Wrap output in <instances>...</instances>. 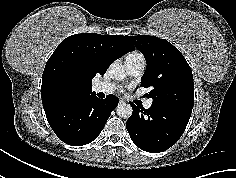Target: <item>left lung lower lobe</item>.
Segmentation results:
<instances>
[{
  "mask_svg": "<svg viewBox=\"0 0 236 178\" xmlns=\"http://www.w3.org/2000/svg\"><path fill=\"white\" fill-rule=\"evenodd\" d=\"M133 113L126 122L132 141L140 149L160 153L173 146L186 129L191 113L152 104L150 109L131 103Z\"/></svg>",
  "mask_w": 236,
  "mask_h": 178,
  "instance_id": "1",
  "label": "left lung lower lobe"
}]
</instances>
